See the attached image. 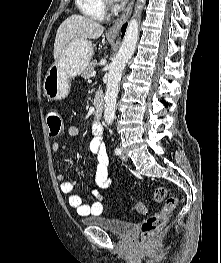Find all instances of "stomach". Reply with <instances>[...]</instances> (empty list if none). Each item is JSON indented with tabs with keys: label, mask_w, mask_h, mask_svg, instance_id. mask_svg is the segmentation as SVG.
Returning a JSON list of instances; mask_svg holds the SVG:
<instances>
[{
	"label": "stomach",
	"mask_w": 221,
	"mask_h": 263,
	"mask_svg": "<svg viewBox=\"0 0 221 263\" xmlns=\"http://www.w3.org/2000/svg\"><path fill=\"white\" fill-rule=\"evenodd\" d=\"M92 56L93 45L90 41H71L45 75L43 90L46 97L50 100L64 99L70 91V79L87 68Z\"/></svg>",
	"instance_id": "1"
}]
</instances>
